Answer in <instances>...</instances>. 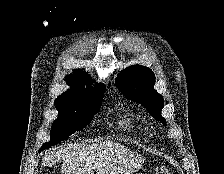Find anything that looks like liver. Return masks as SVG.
Instances as JSON below:
<instances>
[{
  "instance_id": "1",
  "label": "liver",
  "mask_w": 224,
  "mask_h": 174,
  "mask_svg": "<svg viewBox=\"0 0 224 174\" xmlns=\"http://www.w3.org/2000/svg\"><path fill=\"white\" fill-rule=\"evenodd\" d=\"M129 151V148L113 141L91 145L76 144L66 149L52 148L44 156L42 165L52 167L63 161V174H88L93 170L102 169L110 162L122 159Z\"/></svg>"
}]
</instances>
